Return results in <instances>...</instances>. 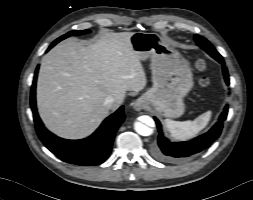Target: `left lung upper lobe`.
<instances>
[{"label": "left lung upper lobe", "instance_id": "obj_1", "mask_svg": "<svg viewBox=\"0 0 253 200\" xmlns=\"http://www.w3.org/2000/svg\"><path fill=\"white\" fill-rule=\"evenodd\" d=\"M195 41L198 46H200L203 50H205L214 59H216L217 61L223 60L222 56L216 51V49L211 45V43L207 39L199 35H195Z\"/></svg>", "mask_w": 253, "mask_h": 200}]
</instances>
